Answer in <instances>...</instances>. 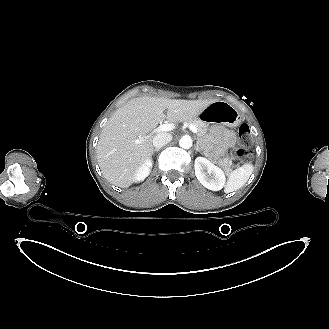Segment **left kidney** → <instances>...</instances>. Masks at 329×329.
Here are the masks:
<instances>
[{"instance_id":"left-kidney-1","label":"left kidney","mask_w":329,"mask_h":329,"mask_svg":"<svg viewBox=\"0 0 329 329\" xmlns=\"http://www.w3.org/2000/svg\"><path fill=\"white\" fill-rule=\"evenodd\" d=\"M195 175L206 188L219 191L225 186L224 171L204 157H197L194 163Z\"/></svg>"}]
</instances>
